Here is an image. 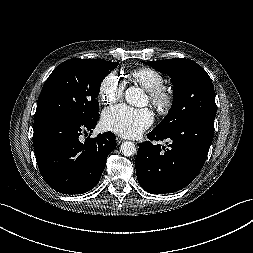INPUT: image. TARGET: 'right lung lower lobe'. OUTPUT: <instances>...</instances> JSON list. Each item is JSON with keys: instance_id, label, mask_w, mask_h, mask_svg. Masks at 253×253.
Instances as JSON below:
<instances>
[{"instance_id": "1", "label": "right lung lower lobe", "mask_w": 253, "mask_h": 253, "mask_svg": "<svg viewBox=\"0 0 253 253\" xmlns=\"http://www.w3.org/2000/svg\"><path fill=\"white\" fill-rule=\"evenodd\" d=\"M98 117L75 121L62 116L34 120L33 146L40 173L46 183L63 194H80L100 180L108 154L116 147L112 132L96 138L81 135L93 132ZM87 134V133H86Z\"/></svg>"}]
</instances>
